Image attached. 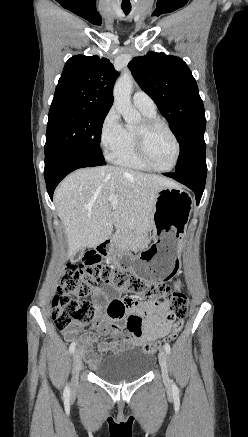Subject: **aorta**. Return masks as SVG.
I'll return each mask as SVG.
<instances>
[{
	"instance_id": "1",
	"label": "aorta",
	"mask_w": 248,
	"mask_h": 437,
	"mask_svg": "<svg viewBox=\"0 0 248 437\" xmlns=\"http://www.w3.org/2000/svg\"><path fill=\"white\" fill-rule=\"evenodd\" d=\"M132 87V76L130 73H125L117 80L113 90L114 105L127 124L137 123L141 118L131 104Z\"/></svg>"
}]
</instances>
